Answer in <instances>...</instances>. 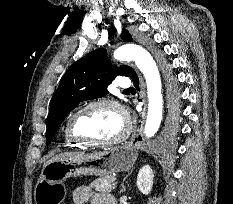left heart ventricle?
Wrapping results in <instances>:
<instances>
[{
    "mask_svg": "<svg viewBox=\"0 0 233 204\" xmlns=\"http://www.w3.org/2000/svg\"><path fill=\"white\" fill-rule=\"evenodd\" d=\"M74 127L76 133L82 137L94 141H108L123 131L124 122L114 108L98 106L79 115Z\"/></svg>",
    "mask_w": 233,
    "mask_h": 204,
    "instance_id": "obj_1",
    "label": "left heart ventricle"
}]
</instances>
